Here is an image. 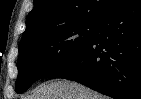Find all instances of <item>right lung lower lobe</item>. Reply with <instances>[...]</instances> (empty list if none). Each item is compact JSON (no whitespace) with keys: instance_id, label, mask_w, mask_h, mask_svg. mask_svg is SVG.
Returning a JSON list of instances; mask_svg holds the SVG:
<instances>
[{"instance_id":"right-lung-lower-lobe-1","label":"right lung lower lobe","mask_w":141,"mask_h":99,"mask_svg":"<svg viewBox=\"0 0 141 99\" xmlns=\"http://www.w3.org/2000/svg\"><path fill=\"white\" fill-rule=\"evenodd\" d=\"M50 77L115 99H141V0H121L99 18L93 39Z\"/></svg>"}]
</instances>
